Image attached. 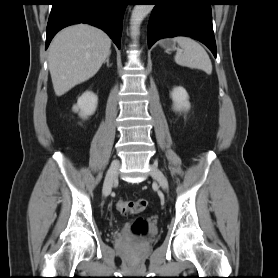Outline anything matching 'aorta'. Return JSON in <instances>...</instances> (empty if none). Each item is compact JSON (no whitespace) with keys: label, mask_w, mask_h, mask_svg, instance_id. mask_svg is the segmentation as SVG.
I'll use <instances>...</instances> for the list:
<instances>
[{"label":"aorta","mask_w":278,"mask_h":278,"mask_svg":"<svg viewBox=\"0 0 278 278\" xmlns=\"http://www.w3.org/2000/svg\"><path fill=\"white\" fill-rule=\"evenodd\" d=\"M152 5H135L131 14V36L136 38L139 35V27L143 19L151 12Z\"/></svg>","instance_id":"obj_1"}]
</instances>
